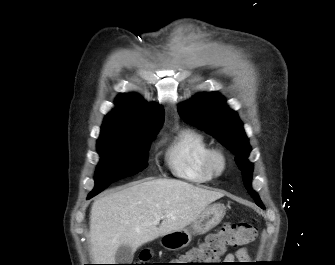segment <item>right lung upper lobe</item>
<instances>
[{
	"mask_svg": "<svg viewBox=\"0 0 335 265\" xmlns=\"http://www.w3.org/2000/svg\"><path fill=\"white\" fill-rule=\"evenodd\" d=\"M115 103L117 108L105 117L102 133L146 126L160 127L164 120L160 105L148 104L137 94H121Z\"/></svg>",
	"mask_w": 335,
	"mask_h": 265,
	"instance_id": "cb5924a9",
	"label": "right lung upper lobe"
}]
</instances>
